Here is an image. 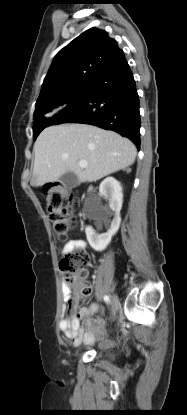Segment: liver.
I'll use <instances>...</instances> for the list:
<instances>
[{
  "instance_id": "liver-1",
  "label": "liver",
  "mask_w": 187,
  "mask_h": 415,
  "mask_svg": "<svg viewBox=\"0 0 187 415\" xmlns=\"http://www.w3.org/2000/svg\"><path fill=\"white\" fill-rule=\"evenodd\" d=\"M31 186L57 181L74 172L80 182H94L132 165L136 147L127 138L86 124H61L44 129L34 144ZM87 161L81 168L79 161Z\"/></svg>"
}]
</instances>
